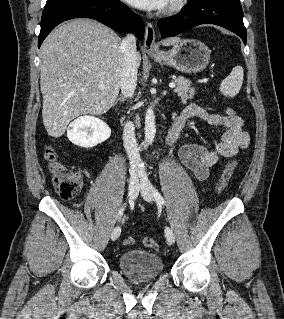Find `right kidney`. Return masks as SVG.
I'll return each instance as SVG.
<instances>
[{
    "mask_svg": "<svg viewBox=\"0 0 284 319\" xmlns=\"http://www.w3.org/2000/svg\"><path fill=\"white\" fill-rule=\"evenodd\" d=\"M110 135V127L104 121L90 115L78 117L67 130L68 139L83 148L94 147L107 140Z\"/></svg>",
    "mask_w": 284,
    "mask_h": 319,
    "instance_id": "right-kidney-1",
    "label": "right kidney"
}]
</instances>
